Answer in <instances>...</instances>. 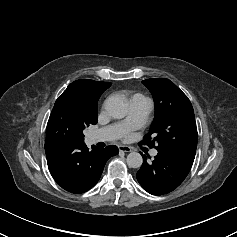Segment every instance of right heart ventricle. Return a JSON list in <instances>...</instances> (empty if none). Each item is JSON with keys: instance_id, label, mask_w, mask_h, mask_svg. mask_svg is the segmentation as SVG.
Listing matches in <instances>:
<instances>
[{"instance_id": "right-heart-ventricle-1", "label": "right heart ventricle", "mask_w": 237, "mask_h": 237, "mask_svg": "<svg viewBox=\"0 0 237 237\" xmlns=\"http://www.w3.org/2000/svg\"><path fill=\"white\" fill-rule=\"evenodd\" d=\"M134 96H141V95L137 94V95H134ZM134 96H133V97H134Z\"/></svg>"}]
</instances>
